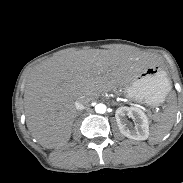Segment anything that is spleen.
<instances>
[{"label":"spleen","instance_id":"1","mask_svg":"<svg viewBox=\"0 0 183 183\" xmlns=\"http://www.w3.org/2000/svg\"><path fill=\"white\" fill-rule=\"evenodd\" d=\"M145 80H138L135 82L133 89H141L145 85ZM171 90V87H170ZM169 106L165 109L161 116L159 123L151 127V136L149 142L151 144H156L160 142L172 129L176 118V99L174 96L170 97Z\"/></svg>","mask_w":183,"mask_h":183}]
</instances>
